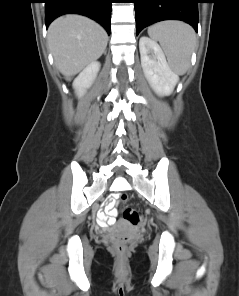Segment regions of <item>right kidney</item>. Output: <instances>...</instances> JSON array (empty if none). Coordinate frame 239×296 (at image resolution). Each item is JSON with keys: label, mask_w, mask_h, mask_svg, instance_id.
Returning <instances> with one entry per match:
<instances>
[{"label": "right kidney", "mask_w": 239, "mask_h": 296, "mask_svg": "<svg viewBox=\"0 0 239 296\" xmlns=\"http://www.w3.org/2000/svg\"><path fill=\"white\" fill-rule=\"evenodd\" d=\"M100 63L94 61L87 65L82 72L73 81V88L78 96H82L87 88H89L95 80L100 70Z\"/></svg>", "instance_id": "ca27d5eb"}]
</instances>
